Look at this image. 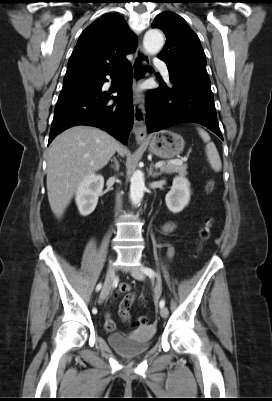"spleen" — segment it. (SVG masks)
<instances>
[{
	"instance_id": "obj_1",
	"label": "spleen",
	"mask_w": 272,
	"mask_h": 401,
	"mask_svg": "<svg viewBox=\"0 0 272 401\" xmlns=\"http://www.w3.org/2000/svg\"><path fill=\"white\" fill-rule=\"evenodd\" d=\"M197 130L203 141L206 143V155L211 168L216 172L221 171L222 163L215 144L211 142V138L205 130L201 128H197Z\"/></svg>"
}]
</instances>
